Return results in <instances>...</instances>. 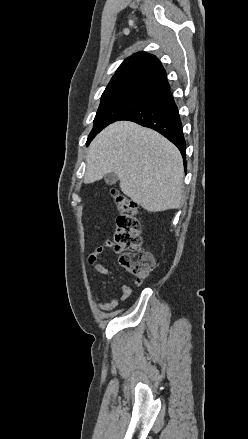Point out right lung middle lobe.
Masks as SVG:
<instances>
[{
	"instance_id": "obj_1",
	"label": "right lung middle lobe",
	"mask_w": 248,
	"mask_h": 439,
	"mask_svg": "<svg viewBox=\"0 0 248 439\" xmlns=\"http://www.w3.org/2000/svg\"><path fill=\"white\" fill-rule=\"evenodd\" d=\"M151 97L136 93H117L101 98L87 145L107 125L120 120L130 111L142 105Z\"/></svg>"
}]
</instances>
